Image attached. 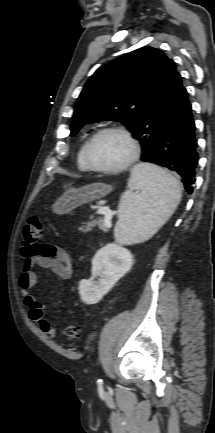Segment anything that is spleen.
<instances>
[{
    "mask_svg": "<svg viewBox=\"0 0 215 433\" xmlns=\"http://www.w3.org/2000/svg\"><path fill=\"white\" fill-rule=\"evenodd\" d=\"M181 196L180 183L164 169L149 163L134 166L120 199L116 241L134 244L151 238L175 212Z\"/></svg>",
    "mask_w": 215,
    "mask_h": 433,
    "instance_id": "obj_1",
    "label": "spleen"
}]
</instances>
